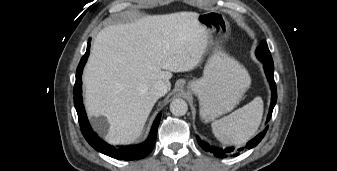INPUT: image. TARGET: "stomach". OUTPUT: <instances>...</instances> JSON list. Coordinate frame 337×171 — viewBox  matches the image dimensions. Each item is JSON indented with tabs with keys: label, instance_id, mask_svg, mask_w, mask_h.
<instances>
[{
	"label": "stomach",
	"instance_id": "0dacf381",
	"mask_svg": "<svg viewBox=\"0 0 337 171\" xmlns=\"http://www.w3.org/2000/svg\"><path fill=\"white\" fill-rule=\"evenodd\" d=\"M198 21L220 41L230 34V25L221 13L200 14ZM250 83V76L240 63L215 49L204 68L203 77L190 81L188 89L198 97L201 120L208 123L232 111Z\"/></svg>",
	"mask_w": 337,
	"mask_h": 171
}]
</instances>
